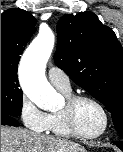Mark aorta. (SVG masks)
I'll return each instance as SVG.
<instances>
[{
	"mask_svg": "<svg viewBox=\"0 0 123 152\" xmlns=\"http://www.w3.org/2000/svg\"><path fill=\"white\" fill-rule=\"evenodd\" d=\"M54 43L53 32L50 29H42L25 50L20 63L23 92L42 110H53L59 105V96L45 77V67Z\"/></svg>",
	"mask_w": 123,
	"mask_h": 152,
	"instance_id": "aorta-1",
	"label": "aorta"
}]
</instances>
